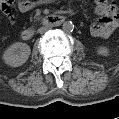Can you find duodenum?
Wrapping results in <instances>:
<instances>
[{"label":"duodenum","mask_w":119,"mask_h":119,"mask_svg":"<svg viewBox=\"0 0 119 119\" xmlns=\"http://www.w3.org/2000/svg\"><path fill=\"white\" fill-rule=\"evenodd\" d=\"M65 20L66 17L63 15H49L44 17L41 20L40 24L44 27H57L61 25ZM35 31L36 30L34 27L24 29L20 34L21 38L23 40H30L34 36Z\"/></svg>","instance_id":"duodenum-1"}]
</instances>
